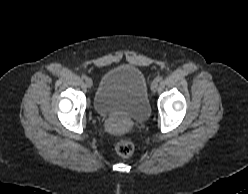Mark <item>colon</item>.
<instances>
[{"label":"colon","instance_id":"5ec220e1","mask_svg":"<svg viewBox=\"0 0 248 194\" xmlns=\"http://www.w3.org/2000/svg\"><path fill=\"white\" fill-rule=\"evenodd\" d=\"M115 151L119 156H130L134 151V145L130 140H120L115 144Z\"/></svg>","mask_w":248,"mask_h":194}]
</instances>
